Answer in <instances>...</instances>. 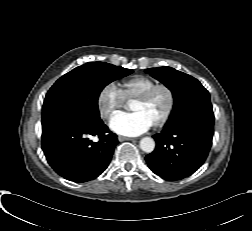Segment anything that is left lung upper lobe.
I'll list each match as a JSON object with an SVG mask.
<instances>
[{"mask_svg": "<svg viewBox=\"0 0 252 231\" xmlns=\"http://www.w3.org/2000/svg\"><path fill=\"white\" fill-rule=\"evenodd\" d=\"M146 72L172 91L174 108L171 119L190 108L212 107L208 91L192 76L171 67L149 68Z\"/></svg>", "mask_w": 252, "mask_h": 231, "instance_id": "left-lung-upper-lobe-1", "label": "left lung upper lobe"}]
</instances>
